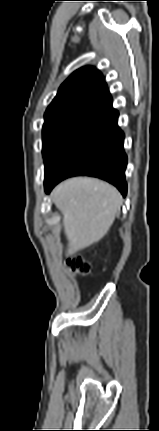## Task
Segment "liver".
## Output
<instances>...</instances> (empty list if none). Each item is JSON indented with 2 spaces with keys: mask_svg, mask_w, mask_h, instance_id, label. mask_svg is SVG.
<instances>
[{
  "mask_svg": "<svg viewBox=\"0 0 159 431\" xmlns=\"http://www.w3.org/2000/svg\"><path fill=\"white\" fill-rule=\"evenodd\" d=\"M63 215L68 239L66 256L101 240L112 226L122 196L112 185L99 179L76 177L60 183L51 194Z\"/></svg>",
  "mask_w": 159,
  "mask_h": 431,
  "instance_id": "liver-1",
  "label": "liver"
}]
</instances>
